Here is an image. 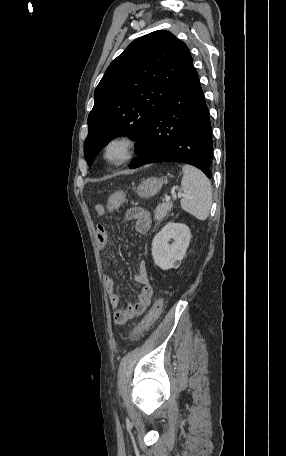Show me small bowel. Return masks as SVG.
<instances>
[{
	"label": "small bowel",
	"mask_w": 286,
	"mask_h": 456,
	"mask_svg": "<svg viewBox=\"0 0 286 456\" xmlns=\"http://www.w3.org/2000/svg\"><path fill=\"white\" fill-rule=\"evenodd\" d=\"M108 210L112 211L116 207L108 204ZM126 220L134 224L135 230L140 233H146L151 228V214L143 207H131L126 211ZM97 244L100 250H105L109 242V234L104 225H98L96 230ZM134 282L140 286L138 299L134 303H128L121 307V298L116 293V283L113 278L108 275L104 276V285L109 294V303L115 309L113 319L115 324L123 325L130 319L141 315L149 306L152 298V286L149 280L148 264L146 260L139 263L138 271L134 276Z\"/></svg>",
	"instance_id": "c3829d8e"
}]
</instances>
